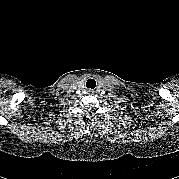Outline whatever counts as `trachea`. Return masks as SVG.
Instances as JSON below:
<instances>
[{
  "instance_id": "trachea-1",
  "label": "trachea",
  "mask_w": 179,
  "mask_h": 179,
  "mask_svg": "<svg viewBox=\"0 0 179 179\" xmlns=\"http://www.w3.org/2000/svg\"><path fill=\"white\" fill-rule=\"evenodd\" d=\"M86 87L90 89H94L96 87L95 79H92V78L88 79L86 82Z\"/></svg>"
}]
</instances>
